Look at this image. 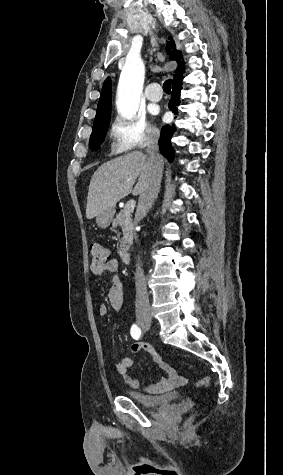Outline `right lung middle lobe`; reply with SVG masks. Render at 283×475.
I'll return each mask as SVG.
<instances>
[{"instance_id":"obj_1","label":"right lung middle lobe","mask_w":283,"mask_h":475,"mask_svg":"<svg viewBox=\"0 0 283 475\" xmlns=\"http://www.w3.org/2000/svg\"><path fill=\"white\" fill-rule=\"evenodd\" d=\"M111 105L97 107L93 130L90 136L89 146L91 150L97 149L104 141L107 128L110 123Z\"/></svg>"}]
</instances>
